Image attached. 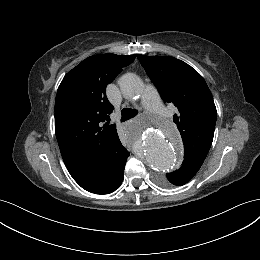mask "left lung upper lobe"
<instances>
[{"instance_id": "left-lung-upper-lobe-1", "label": "left lung upper lobe", "mask_w": 260, "mask_h": 260, "mask_svg": "<svg viewBox=\"0 0 260 260\" xmlns=\"http://www.w3.org/2000/svg\"><path fill=\"white\" fill-rule=\"evenodd\" d=\"M138 59L165 103L178 112L174 122L184 144V161L201 167L211 147L217 118L212 94L202 76L185 62L171 56H144ZM163 186L171 187L166 178Z\"/></svg>"}]
</instances>
